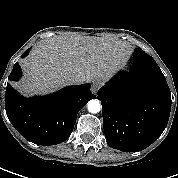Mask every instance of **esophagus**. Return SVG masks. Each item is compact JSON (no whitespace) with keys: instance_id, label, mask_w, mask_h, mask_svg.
Returning <instances> with one entry per match:
<instances>
[{"instance_id":"obj_1","label":"esophagus","mask_w":178,"mask_h":178,"mask_svg":"<svg viewBox=\"0 0 178 178\" xmlns=\"http://www.w3.org/2000/svg\"><path fill=\"white\" fill-rule=\"evenodd\" d=\"M102 86V82L99 80H94L91 84V92L96 94L99 88Z\"/></svg>"}]
</instances>
